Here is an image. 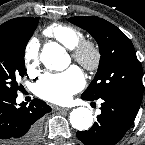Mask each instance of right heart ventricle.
Listing matches in <instances>:
<instances>
[{"instance_id":"right-heart-ventricle-1","label":"right heart ventricle","mask_w":145,"mask_h":145,"mask_svg":"<svg viewBox=\"0 0 145 145\" xmlns=\"http://www.w3.org/2000/svg\"><path fill=\"white\" fill-rule=\"evenodd\" d=\"M46 36L52 37L68 49H72L83 39L80 29L62 23H54L44 30Z\"/></svg>"}]
</instances>
